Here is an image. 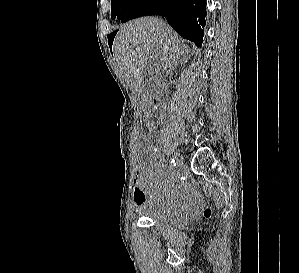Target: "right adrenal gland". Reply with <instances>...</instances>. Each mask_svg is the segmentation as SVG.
Returning <instances> with one entry per match:
<instances>
[{
	"label": "right adrenal gland",
	"mask_w": 299,
	"mask_h": 273,
	"mask_svg": "<svg viewBox=\"0 0 299 273\" xmlns=\"http://www.w3.org/2000/svg\"><path fill=\"white\" fill-rule=\"evenodd\" d=\"M188 55V53H185V55ZM182 59H180V57L178 58V59H176L175 60V62L173 63V66L170 68V70L169 71H171V70H174L175 68H176V66L178 65V63H182ZM186 62H187V59H186Z\"/></svg>",
	"instance_id": "obj_1"
}]
</instances>
